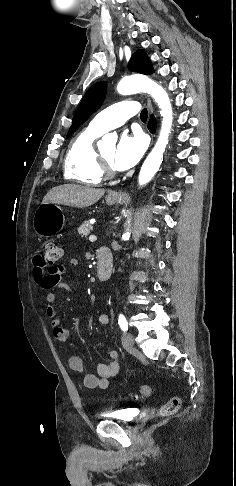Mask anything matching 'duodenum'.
<instances>
[{"label":"duodenum","mask_w":236,"mask_h":486,"mask_svg":"<svg viewBox=\"0 0 236 486\" xmlns=\"http://www.w3.org/2000/svg\"><path fill=\"white\" fill-rule=\"evenodd\" d=\"M113 269V259L109 248L100 247L98 249L97 277L100 281L110 278Z\"/></svg>","instance_id":"duodenum-1"}]
</instances>
